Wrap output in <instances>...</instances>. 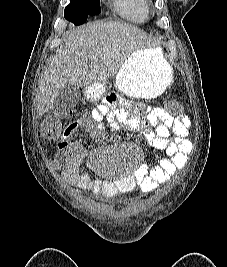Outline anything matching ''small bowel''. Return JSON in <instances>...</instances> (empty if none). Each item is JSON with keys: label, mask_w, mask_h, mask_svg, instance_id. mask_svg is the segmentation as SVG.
<instances>
[{"label": "small bowel", "mask_w": 227, "mask_h": 267, "mask_svg": "<svg viewBox=\"0 0 227 267\" xmlns=\"http://www.w3.org/2000/svg\"><path fill=\"white\" fill-rule=\"evenodd\" d=\"M117 121L143 134L154 148L164 150L166 157L152 169L141 162L133 173L113 181L91 177L82 169L87 158L82 144L71 141V138L79 129H85L92 140H100L106 126L115 127ZM187 132L182 116H174L164 108L146 104L118 108L116 98L108 96L89 115H83L66 127L58 143L54 163L62 170L67 182L96 195L112 198L135 189L152 192L185 166L187 154L192 150Z\"/></svg>", "instance_id": "c3829d8e"}]
</instances>
